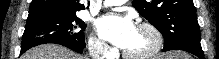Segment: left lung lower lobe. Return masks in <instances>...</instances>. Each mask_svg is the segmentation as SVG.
<instances>
[{
    "instance_id": "0a47b994",
    "label": "left lung lower lobe",
    "mask_w": 219,
    "mask_h": 59,
    "mask_svg": "<svg viewBox=\"0 0 219 59\" xmlns=\"http://www.w3.org/2000/svg\"><path fill=\"white\" fill-rule=\"evenodd\" d=\"M172 50H183L196 55L199 59H205L204 53L200 44V37H187L173 42L167 47H164L162 52Z\"/></svg>"
}]
</instances>
